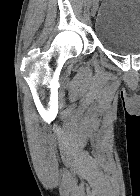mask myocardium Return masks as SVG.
<instances>
[{
    "label": "myocardium",
    "mask_w": 140,
    "mask_h": 196,
    "mask_svg": "<svg viewBox=\"0 0 140 196\" xmlns=\"http://www.w3.org/2000/svg\"><path fill=\"white\" fill-rule=\"evenodd\" d=\"M89 192H125V191H89Z\"/></svg>",
    "instance_id": "1"
}]
</instances>
